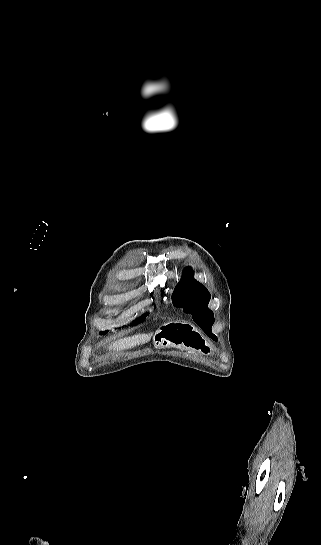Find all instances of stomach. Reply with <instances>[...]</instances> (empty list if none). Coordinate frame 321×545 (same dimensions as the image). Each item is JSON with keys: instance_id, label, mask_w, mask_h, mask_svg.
Returning a JSON list of instances; mask_svg holds the SVG:
<instances>
[{"instance_id": "1", "label": "stomach", "mask_w": 321, "mask_h": 545, "mask_svg": "<svg viewBox=\"0 0 321 545\" xmlns=\"http://www.w3.org/2000/svg\"><path fill=\"white\" fill-rule=\"evenodd\" d=\"M155 349H165V347H176V349H186L191 353H203L206 355L208 343L197 327L191 323H180V321H170L162 325L156 331L153 339Z\"/></svg>"}]
</instances>
